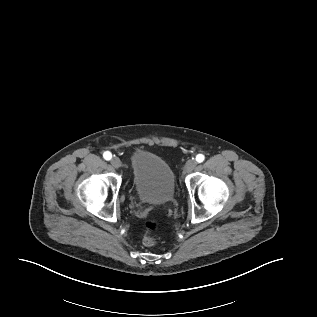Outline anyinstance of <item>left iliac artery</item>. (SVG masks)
<instances>
[{"mask_svg": "<svg viewBox=\"0 0 317 317\" xmlns=\"http://www.w3.org/2000/svg\"><path fill=\"white\" fill-rule=\"evenodd\" d=\"M204 159H205V156H204L203 154H198V155L196 156V161H197L198 163L203 162Z\"/></svg>", "mask_w": 317, "mask_h": 317, "instance_id": "44dca946", "label": "left iliac artery"}]
</instances>
